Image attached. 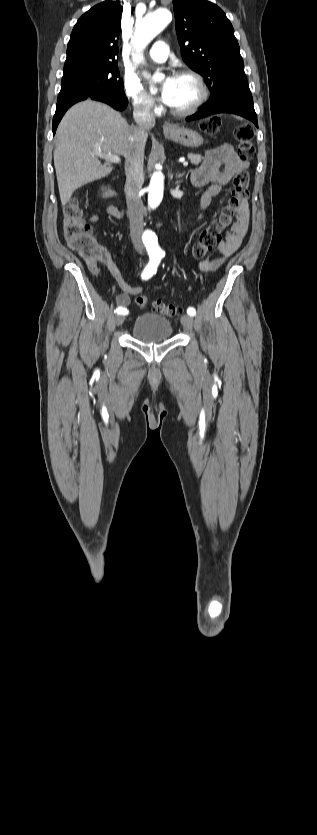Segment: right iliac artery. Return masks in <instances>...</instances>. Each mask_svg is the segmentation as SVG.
<instances>
[{"instance_id":"right-iliac-artery-1","label":"right iliac artery","mask_w":317,"mask_h":835,"mask_svg":"<svg viewBox=\"0 0 317 835\" xmlns=\"http://www.w3.org/2000/svg\"><path fill=\"white\" fill-rule=\"evenodd\" d=\"M159 263H160L159 258H157V257L150 258L149 263L146 265V267L144 268V270L142 272V275H141L142 279L147 280V279L151 278L156 273ZM115 312L117 314H120V315H127L128 314V310L125 309V308H122V307H117Z\"/></svg>"}]
</instances>
